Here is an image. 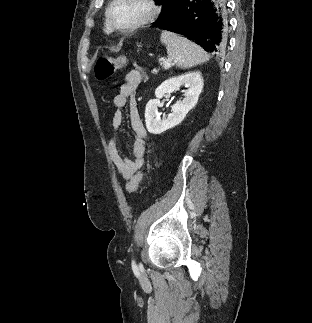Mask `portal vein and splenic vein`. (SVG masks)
I'll list each match as a JSON object with an SVG mask.
<instances>
[{
	"label": "portal vein and splenic vein",
	"mask_w": 312,
	"mask_h": 323,
	"mask_svg": "<svg viewBox=\"0 0 312 323\" xmlns=\"http://www.w3.org/2000/svg\"><path fill=\"white\" fill-rule=\"evenodd\" d=\"M171 62H163V68H171Z\"/></svg>",
	"instance_id": "18ae733b"
}]
</instances>
